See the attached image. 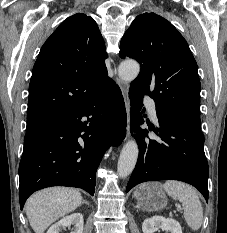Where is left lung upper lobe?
Returning <instances> with one entry per match:
<instances>
[{
  "label": "left lung upper lobe",
  "mask_w": 227,
  "mask_h": 233,
  "mask_svg": "<svg viewBox=\"0 0 227 233\" xmlns=\"http://www.w3.org/2000/svg\"><path fill=\"white\" fill-rule=\"evenodd\" d=\"M119 55L141 65L131 89L148 94L175 120L201 130L198 66L169 21L155 13L138 15L121 40Z\"/></svg>",
  "instance_id": "5c2ea615"
}]
</instances>
